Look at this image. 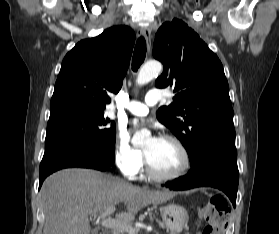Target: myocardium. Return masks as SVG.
<instances>
[{
    "instance_id": "myocardium-1",
    "label": "myocardium",
    "mask_w": 279,
    "mask_h": 234,
    "mask_svg": "<svg viewBox=\"0 0 279 234\" xmlns=\"http://www.w3.org/2000/svg\"><path fill=\"white\" fill-rule=\"evenodd\" d=\"M160 139L170 141L179 148V150L182 154V158H183L182 166L174 174H171V175L159 174L151 166L148 155L144 150V163H145L146 173L151 179L158 181V182L168 183V182H173V181L179 180L183 176H185L186 173L188 172V170L190 169V166H191L190 153H189L187 147L185 146V144L176 136L163 135L160 137Z\"/></svg>"
}]
</instances>
